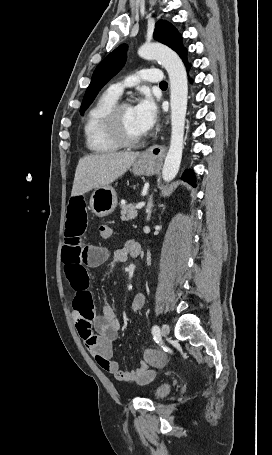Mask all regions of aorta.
Wrapping results in <instances>:
<instances>
[{
    "label": "aorta",
    "instance_id": "762f6f07",
    "mask_svg": "<svg viewBox=\"0 0 272 455\" xmlns=\"http://www.w3.org/2000/svg\"><path fill=\"white\" fill-rule=\"evenodd\" d=\"M138 54L144 59L160 62L169 75L171 90V141L162 170V178L165 182H170L177 175L182 159L188 101L187 73L180 57L164 45L145 43L139 48Z\"/></svg>",
    "mask_w": 272,
    "mask_h": 455
}]
</instances>
